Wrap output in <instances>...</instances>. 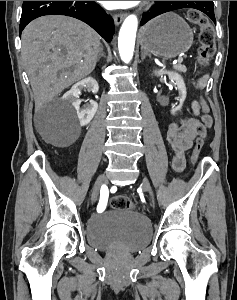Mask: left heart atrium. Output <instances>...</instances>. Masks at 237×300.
<instances>
[{"instance_id":"left-heart-atrium-1","label":"left heart atrium","mask_w":237,"mask_h":300,"mask_svg":"<svg viewBox=\"0 0 237 300\" xmlns=\"http://www.w3.org/2000/svg\"><path fill=\"white\" fill-rule=\"evenodd\" d=\"M107 9H125L136 5L139 1H100Z\"/></svg>"}]
</instances>
